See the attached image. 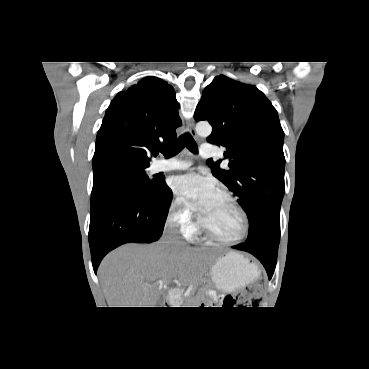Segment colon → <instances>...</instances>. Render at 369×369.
Masks as SVG:
<instances>
[{
	"label": "colon",
	"instance_id": "obj_1",
	"mask_svg": "<svg viewBox=\"0 0 369 369\" xmlns=\"http://www.w3.org/2000/svg\"><path fill=\"white\" fill-rule=\"evenodd\" d=\"M263 294V284L257 283L251 285L236 295L211 294L213 302H219L223 307H256L259 305Z\"/></svg>",
	"mask_w": 369,
	"mask_h": 369
}]
</instances>
